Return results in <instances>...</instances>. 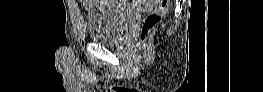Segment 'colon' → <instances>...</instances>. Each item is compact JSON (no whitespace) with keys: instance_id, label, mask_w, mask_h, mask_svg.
I'll return each mask as SVG.
<instances>
[{"instance_id":"obj_1","label":"colon","mask_w":263,"mask_h":92,"mask_svg":"<svg viewBox=\"0 0 263 92\" xmlns=\"http://www.w3.org/2000/svg\"><path fill=\"white\" fill-rule=\"evenodd\" d=\"M154 2L157 3L156 8L146 15L141 26L140 38L142 42L146 41L153 28L160 23L169 6V0Z\"/></svg>"}]
</instances>
